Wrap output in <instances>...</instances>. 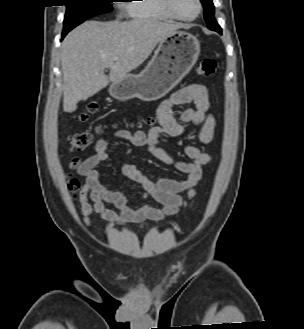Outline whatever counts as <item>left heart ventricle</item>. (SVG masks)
Masks as SVG:
<instances>
[{
	"instance_id": "1",
	"label": "left heart ventricle",
	"mask_w": 304,
	"mask_h": 329,
	"mask_svg": "<svg viewBox=\"0 0 304 329\" xmlns=\"http://www.w3.org/2000/svg\"><path fill=\"white\" fill-rule=\"evenodd\" d=\"M176 12L185 17H192L198 11L196 0H173Z\"/></svg>"
}]
</instances>
